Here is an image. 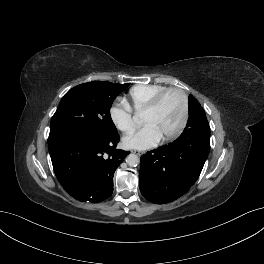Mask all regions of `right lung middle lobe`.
<instances>
[{
	"label": "right lung middle lobe",
	"mask_w": 264,
	"mask_h": 264,
	"mask_svg": "<svg viewBox=\"0 0 264 264\" xmlns=\"http://www.w3.org/2000/svg\"><path fill=\"white\" fill-rule=\"evenodd\" d=\"M128 86L93 81L70 89L51 119L48 143L70 135L108 138L118 134L110 108L114 99Z\"/></svg>",
	"instance_id": "obj_1"
}]
</instances>
